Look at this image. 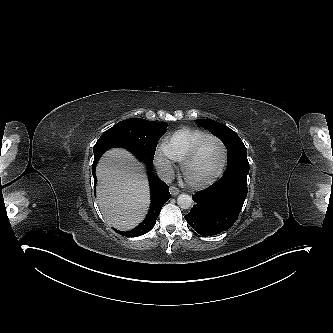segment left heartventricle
<instances>
[{"mask_svg":"<svg viewBox=\"0 0 333 333\" xmlns=\"http://www.w3.org/2000/svg\"><path fill=\"white\" fill-rule=\"evenodd\" d=\"M223 157L220 143L208 140L203 144L197 156L188 164L187 175L191 180L203 181L212 177L219 169Z\"/></svg>","mask_w":333,"mask_h":333,"instance_id":"b2bd125f","label":"left heart ventricle"}]
</instances>
